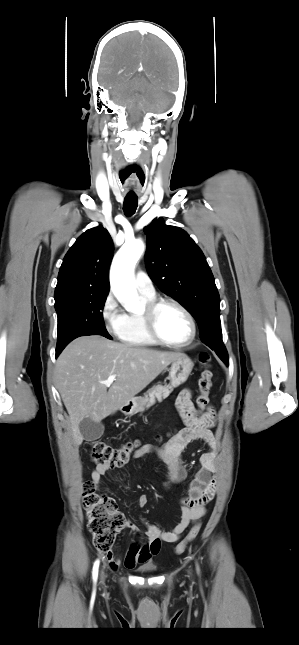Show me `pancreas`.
<instances>
[{"label": "pancreas", "instance_id": "1", "mask_svg": "<svg viewBox=\"0 0 299 645\" xmlns=\"http://www.w3.org/2000/svg\"><path fill=\"white\" fill-rule=\"evenodd\" d=\"M172 391L171 386H162V385H157L153 387L151 390H149L148 394L149 397H147L148 401V407L153 405L156 401V399L161 402L163 399L169 396V394Z\"/></svg>", "mask_w": 299, "mask_h": 645}]
</instances>
